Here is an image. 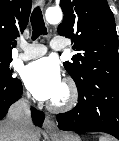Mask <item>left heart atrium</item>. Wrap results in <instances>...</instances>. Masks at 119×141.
Segmentation results:
<instances>
[{"instance_id": "1", "label": "left heart atrium", "mask_w": 119, "mask_h": 141, "mask_svg": "<svg viewBox=\"0 0 119 141\" xmlns=\"http://www.w3.org/2000/svg\"><path fill=\"white\" fill-rule=\"evenodd\" d=\"M23 80L39 100H53L63 85L60 68L51 58H42L27 65L23 71Z\"/></svg>"}]
</instances>
